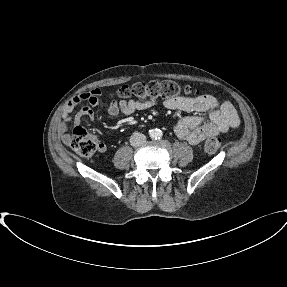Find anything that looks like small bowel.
<instances>
[{
  "mask_svg": "<svg viewBox=\"0 0 287 287\" xmlns=\"http://www.w3.org/2000/svg\"><path fill=\"white\" fill-rule=\"evenodd\" d=\"M100 95L101 90L95 88L71 99L64 111L63 120L58 126V133L65 144L70 142V122L73 121L74 125L78 126L83 117L93 119L92 107L100 104ZM83 102L87 104L82 105L73 114L74 109ZM155 104V101H112L108 106V114L112 117L119 113L131 116L136 111L146 110ZM164 105L172 110L198 113L195 116L184 117L174 125V132L177 137L192 145H197L209 137L225 133L230 128H236L240 124V119L233 105L211 95L197 98L175 97L166 100ZM100 149L105 150V146L102 145Z\"/></svg>",
  "mask_w": 287,
  "mask_h": 287,
  "instance_id": "obj_1",
  "label": "small bowel"
}]
</instances>
